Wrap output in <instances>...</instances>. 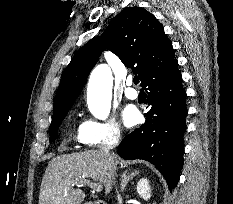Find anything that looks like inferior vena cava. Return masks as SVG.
<instances>
[{"label": "inferior vena cava", "instance_id": "inferior-vena-cava-1", "mask_svg": "<svg viewBox=\"0 0 233 204\" xmlns=\"http://www.w3.org/2000/svg\"><path fill=\"white\" fill-rule=\"evenodd\" d=\"M120 139V133L117 132L113 135L112 138H110L107 142L103 143L100 147L101 152L104 153V155L107 157V160L109 162V168L110 171H115V166H114V162L113 159L111 157V153L110 151L116 147V145L118 144ZM111 176V173H110Z\"/></svg>", "mask_w": 233, "mask_h": 204}]
</instances>
